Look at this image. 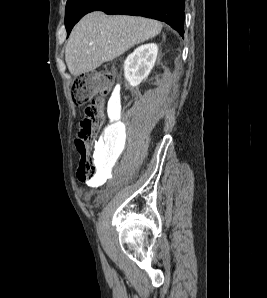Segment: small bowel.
Segmentation results:
<instances>
[{"label": "small bowel", "instance_id": "obj_1", "mask_svg": "<svg viewBox=\"0 0 267 298\" xmlns=\"http://www.w3.org/2000/svg\"><path fill=\"white\" fill-rule=\"evenodd\" d=\"M111 138H112V135H110V134L105 136V138L103 140V145L107 146L109 141L111 140ZM94 195H95V193L92 190L83 193V197L86 201H90L94 197Z\"/></svg>", "mask_w": 267, "mask_h": 298}]
</instances>
